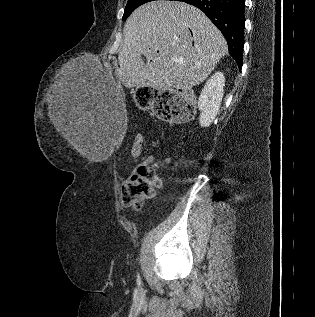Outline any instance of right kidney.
I'll use <instances>...</instances> for the list:
<instances>
[{
    "mask_svg": "<svg viewBox=\"0 0 315 317\" xmlns=\"http://www.w3.org/2000/svg\"><path fill=\"white\" fill-rule=\"evenodd\" d=\"M225 77L216 72L206 82L198 99L201 127H209L219 112L224 94Z\"/></svg>",
    "mask_w": 315,
    "mask_h": 317,
    "instance_id": "1",
    "label": "right kidney"
}]
</instances>
